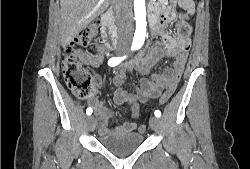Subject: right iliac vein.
<instances>
[{
  "label": "right iliac vein",
  "mask_w": 250,
  "mask_h": 169,
  "mask_svg": "<svg viewBox=\"0 0 250 169\" xmlns=\"http://www.w3.org/2000/svg\"><path fill=\"white\" fill-rule=\"evenodd\" d=\"M86 121H87L88 129L90 131H93L94 128H95V126H96V121H95L94 116H88L87 119H86Z\"/></svg>",
  "instance_id": "1"
}]
</instances>
